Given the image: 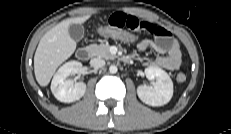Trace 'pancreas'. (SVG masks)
<instances>
[{"label":"pancreas","mask_w":231,"mask_h":134,"mask_svg":"<svg viewBox=\"0 0 231 134\" xmlns=\"http://www.w3.org/2000/svg\"><path fill=\"white\" fill-rule=\"evenodd\" d=\"M110 46L106 44H92L88 46V50L92 56L104 58V59H115L116 56L110 53Z\"/></svg>","instance_id":"cf45deb5"}]
</instances>
